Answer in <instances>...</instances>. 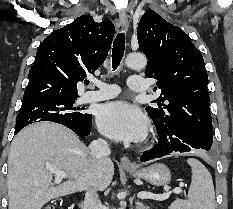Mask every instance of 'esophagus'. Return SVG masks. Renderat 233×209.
Segmentation results:
<instances>
[{
  "mask_svg": "<svg viewBox=\"0 0 233 209\" xmlns=\"http://www.w3.org/2000/svg\"><path fill=\"white\" fill-rule=\"evenodd\" d=\"M119 24L121 26V28L125 31L128 30L129 27V21H128V17L127 14L124 11H120L119 12ZM120 163L123 167L125 168H135V165H133L129 158L126 155H123L121 157Z\"/></svg>",
  "mask_w": 233,
  "mask_h": 209,
  "instance_id": "1",
  "label": "esophagus"
}]
</instances>
